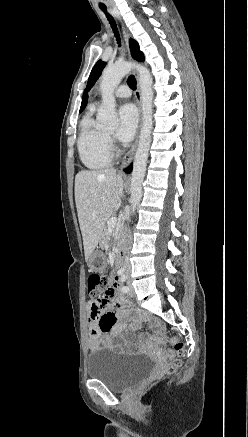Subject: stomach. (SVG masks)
<instances>
[{"label": "stomach", "instance_id": "obj_1", "mask_svg": "<svg viewBox=\"0 0 248 437\" xmlns=\"http://www.w3.org/2000/svg\"><path fill=\"white\" fill-rule=\"evenodd\" d=\"M88 266L91 272H96V273L104 272L106 267L105 256L100 252L91 254V256L88 259Z\"/></svg>", "mask_w": 248, "mask_h": 437}]
</instances>
